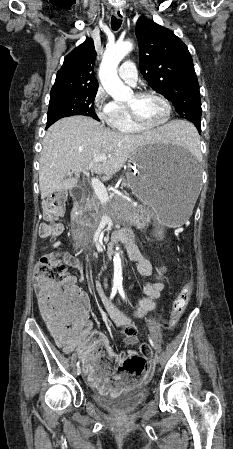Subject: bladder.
Wrapping results in <instances>:
<instances>
[{
	"instance_id": "bladder-1",
	"label": "bladder",
	"mask_w": 233,
	"mask_h": 449,
	"mask_svg": "<svg viewBox=\"0 0 233 449\" xmlns=\"http://www.w3.org/2000/svg\"><path fill=\"white\" fill-rule=\"evenodd\" d=\"M146 391L127 390L123 391L118 397L112 398L100 393H94V402L103 409L111 412L123 413L136 409L146 399Z\"/></svg>"
}]
</instances>
